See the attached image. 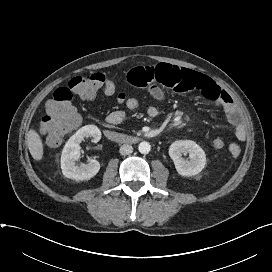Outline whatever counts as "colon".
Instances as JSON below:
<instances>
[{
	"label": "colon",
	"instance_id": "colon-1",
	"mask_svg": "<svg viewBox=\"0 0 272 272\" xmlns=\"http://www.w3.org/2000/svg\"><path fill=\"white\" fill-rule=\"evenodd\" d=\"M100 91L110 96L116 92V86L112 80L99 72L74 77L66 87L55 90L46 103V115L40 127L49 145L60 144L65 135L79 124V114L72 103L73 94L79 95L84 100H92ZM117 102L128 110H135L140 106L139 99L125 92L117 95ZM212 146L221 150L225 147V142L221 138H215Z\"/></svg>",
	"mask_w": 272,
	"mask_h": 272
}]
</instances>
